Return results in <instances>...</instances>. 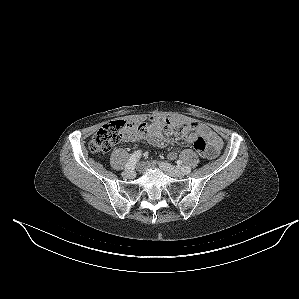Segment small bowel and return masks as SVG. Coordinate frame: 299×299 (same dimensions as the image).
I'll return each instance as SVG.
<instances>
[{
	"label": "small bowel",
	"mask_w": 299,
	"mask_h": 299,
	"mask_svg": "<svg viewBox=\"0 0 299 299\" xmlns=\"http://www.w3.org/2000/svg\"><path fill=\"white\" fill-rule=\"evenodd\" d=\"M160 118L154 119L152 123L148 124L144 130L137 128L130 129L125 137L124 141L136 142L141 139L148 140L151 144L156 146H165L170 143V140L163 133V129L159 124ZM197 137H202L207 141L209 155L207 158H214L222 147L221 138L212 131L207 125L200 123H193V128L186 137V142L191 144ZM169 159H175L176 153L170 152L168 154Z\"/></svg>",
	"instance_id": "small-bowel-1"
}]
</instances>
